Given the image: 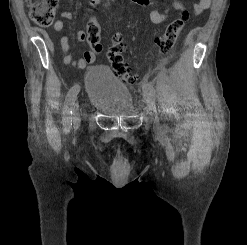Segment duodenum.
<instances>
[{
	"label": "duodenum",
	"instance_id": "duodenum-1",
	"mask_svg": "<svg viewBox=\"0 0 247 245\" xmlns=\"http://www.w3.org/2000/svg\"><path fill=\"white\" fill-rule=\"evenodd\" d=\"M95 2L99 3L101 0H94Z\"/></svg>",
	"mask_w": 247,
	"mask_h": 245
}]
</instances>
